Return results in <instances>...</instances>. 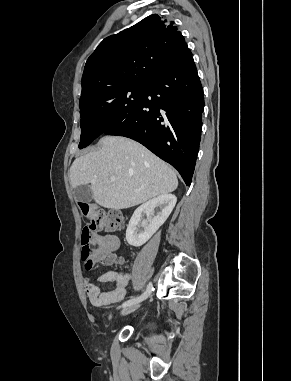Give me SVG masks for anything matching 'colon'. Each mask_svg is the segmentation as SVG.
I'll return each instance as SVG.
<instances>
[{
    "label": "colon",
    "instance_id": "1",
    "mask_svg": "<svg viewBox=\"0 0 291 381\" xmlns=\"http://www.w3.org/2000/svg\"><path fill=\"white\" fill-rule=\"evenodd\" d=\"M79 208L84 218L89 222L81 233L80 255L86 270H91L94 266L93 249L90 245L93 234L100 230L113 231L118 229L122 225L124 217L119 211L106 212L85 201L79 202ZM100 259L107 264L118 262V259L110 253H104Z\"/></svg>",
    "mask_w": 291,
    "mask_h": 381
}]
</instances>
